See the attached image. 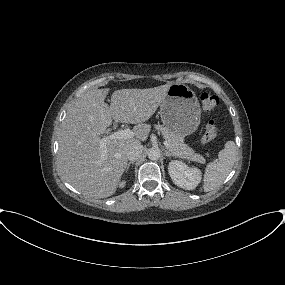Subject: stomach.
Returning a JSON list of instances; mask_svg holds the SVG:
<instances>
[{
  "label": "stomach",
  "mask_w": 285,
  "mask_h": 285,
  "mask_svg": "<svg viewBox=\"0 0 285 285\" xmlns=\"http://www.w3.org/2000/svg\"><path fill=\"white\" fill-rule=\"evenodd\" d=\"M160 116L166 129L182 137L193 133L201 116L200 104L194 91L185 84H172L160 105Z\"/></svg>",
  "instance_id": "0dacf381"
}]
</instances>
